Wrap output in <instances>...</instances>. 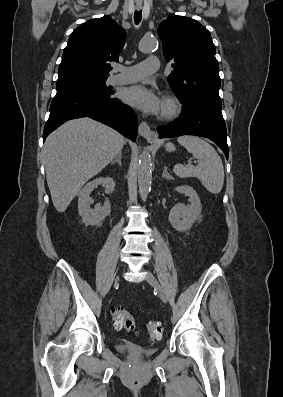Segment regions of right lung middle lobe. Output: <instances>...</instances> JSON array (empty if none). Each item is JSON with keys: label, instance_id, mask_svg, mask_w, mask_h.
<instances>
[{"label": "right lung middle lobe", "instance_id": "dd1d6c3e", "mask_svg": "<svg viewBox=\"0 0 283 397\" xmlns=\"http://www.w3.org/2000/svg\"><path fill=\"white\" fill-rule=\"evenodd\" d=\"M106 77H74L63 80H57V94L71 90H88L100 93H113L106 87Z\"/></svg>", "mask_w": 283, "mask_h": 397}]
</instances>
